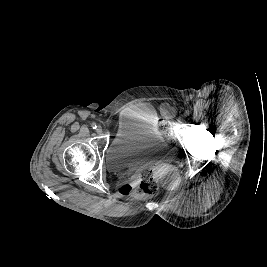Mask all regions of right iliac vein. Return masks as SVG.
<instances>
[{"mask_svg": "<svg viewBox=\"0 0 267 267\" xmlns=\"http://www.w3.org/2000/svg\"><path fill=\"white\" fill-rule=\"evenodd\" d=\"M96 132H97L98 134H101V133H102V127H101V126H97V128H96Z\"/></svg>", "mask_w": 267, "mask_h": 267, "instance_id": "63e3f726", "label": "right iliac vein"}]
</instances>
